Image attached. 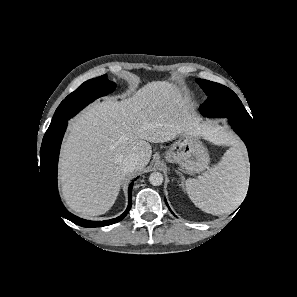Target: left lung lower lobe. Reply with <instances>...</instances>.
<instances>
[{
	"label": "left lung lower lobe",
	"mask_w": 297,
	"mask_h": 297,
	"mask_svg": "<svg viewBox=\"0 0 297 297\" xmlns=\"http://www.w3.org/2000/svg\"><path fill=\"white\" fill-rule=\"evenodd\" d=\"M229 119V124L233 128V130L239 135V137L244 141L249 153V160L251 163V176H250V185L249 191L246 196V199L251 191L252 184L254 181V172H256L257 164H258V136L256 138V130L253 126L242 123L232 118ZM245 199V201H246ZM244 201V202H245ZM166 202V200H165ZM243 202V204H244ZM242 204V205H243ZM166 205L168 206L167 202ZM242 207V206H241ZM169 208V206H168ZM170 209V208H169Z\"/></svg>",
	"instance_id": "1"
}]
</instances>
